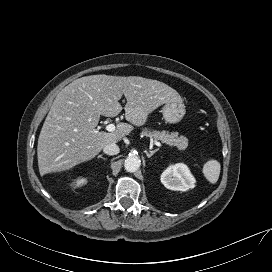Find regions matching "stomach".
Segmentation results:
<instances>
[{
    "mask_svg": "<svg viewBox=\"0 0 272 272\" xmlns=\"http://www.w3.org/2000/svg\"><path fill=\"white\" fill-rule=\"evenodd\" d=\"M186 109L182 101H174L166 103L162 109L163 118L167 123L175 124L180 122Z\"/></svg>",
    "mask_w": 272,
    "mask_h": 272,
    "instance_id": "obj_1",
    "label": "stomach"
}]
</instances>
